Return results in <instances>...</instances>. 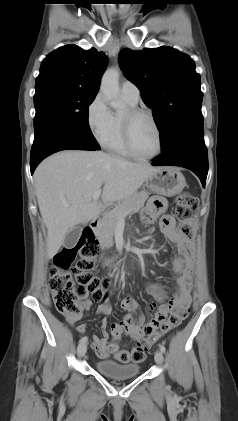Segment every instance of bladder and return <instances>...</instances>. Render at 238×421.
<instances>
[{"instance_id":"1","label":"bladder","mask_w":238,"mask_h":421,"mask_svg":"<svg viewBox=\"0 0 238 421\" xmlns=\"http://www.w3.org/2000/svg\"><path fill=\"white\" fill-rule=\"evenodd\" d=\"M95 367L101 374L113 379L133 378L140 371V366L136 363H120L111 359L98 360Z\"/></svg>"}]
</instances>
